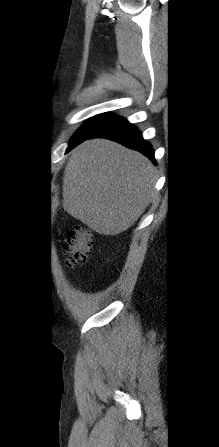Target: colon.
<instances>
[{
	"mask_svg": "<svg viewBox=\"0 0 219 447\" xmlns=\"http://www.w3.org/2000/svg\"><path fill=\"white\" fill-rule=\"evenodd\" d=\"M93 244L92 234L89 230L76 227L69 231L63 242V251L66 253V265L69 268L84 264L91 252Z\"/></svg>",
	"mask_w": 219,
	"mask_h": 447,
	"instance_id": "5ec220e1",
	"label": "colon"
}]
</instances>
